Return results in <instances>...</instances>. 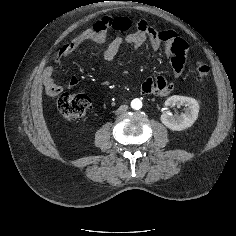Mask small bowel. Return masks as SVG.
<instances>
[{"instance_id": "small-bowel-1", "label": "small bowel", "mask_w": 236, "mask_h": 236, "mask_svg": "<svg viewBox=\"0 0 236 236\" xmlns=\"http://www.w3.org/2000/svg\"><path fill=\"white\" fill-rule=\"evenodd\" d=\"M98 21H100V24L96 22L92 28L81 31L74 39L65 43L58 51L54 62L60 64L68 55L85 43H97L104 46L102 57L104 61L110 62L115 58L123 44H129L137 49L146 42H149L154 50H159L162 46L165 47L166 54L170 58L172 66L173 81L181 77L189 47L186 40L180 37L175 31H157L147 21L140 20L137 22L134 31H130L124 36L115 37L106 44L108 32L113 31L111 29L113 18L106 17ZM54 73V66L49 65L43 69L41 74L46 93L53 97L58 96L64 90L63 86L56 83ZM173 81H169L164 76H158L155 79L147 78L142 82L140 92L144 95L166 96L173 91ZM77 83L78 79L72 77L67 82V87L72 88Z\"/></svg>"}]
</instances>
